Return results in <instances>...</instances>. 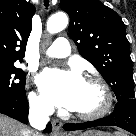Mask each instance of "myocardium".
Wrapping results in <instances>:
<instances>
[{
	"label": "myocardium",
	"instance_id": "1",
	"mask_svg": "<svg viewBox=\"0 0 136 136\" xmlns=\"http://www.w3.org/2000/svg\"><path fill=\"white\" fill-rule=\"evenodd\" d=\"M86 82L92 83L101 89L103 93V104L98 110L92 113L75 112V115L82 120L93 121L100 119L109 113L113 105V94L109 85L98 76H89L86 79Z\"/></svg>",
	"mask_w": 136,
	"mask_h": 136
}]
</instances>
